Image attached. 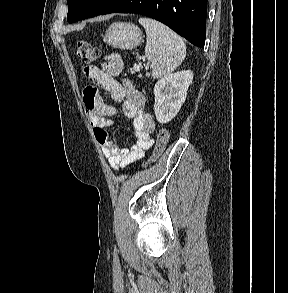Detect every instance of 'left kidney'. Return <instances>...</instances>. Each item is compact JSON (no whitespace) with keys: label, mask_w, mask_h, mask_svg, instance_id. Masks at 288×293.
<instances>
[{"label":"left kidney","mask_w":288,"mask_h":293,"mask_svg":"<svg viewBox=\"0 0 288 293\" xmlns=\"http://www.w3.org/2000/svg\"><path fill=\"white\" fill-rule=\"evenodd\" d=\"M193 80L190 70L167 75L154 86V111L158 122L168 123L179 112L185 102L187 91Z\"/></svg>","instance_id":"5707ae66"}]
</instances>
